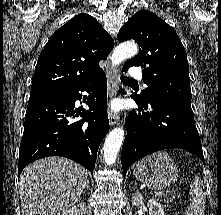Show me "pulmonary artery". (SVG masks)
I'll use <instances>...</instances> for the list:
<instances>
[{"label": "pulmonary artery", "instance_id": "e3ab8cb5", "mask_svg": "<svg viewBox=\"0 0 221 215\" xmlns=\"http://www.w3.org/2000/svg\"><path fill=\"white\" fill-rule=\"evenodd\" d=\"M130 76L134 79H141L142 78V72L139 68L137 67H132L130 69V72H129Z\"/></svg>", "mask_w": 221, "mask_h": 215}]
</instances>
